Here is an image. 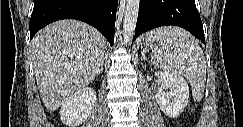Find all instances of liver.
<instances>
[{
  "label": "liver",
  "instance_id": "liver-1",
  "mask_svg": "<svg viewBox=\"0 0 243 127\" xmlns=\"http://www.w3.org/2000/svg\"><path fill=\"white\" fill-rule=\"evenodd\" d=\"M32 59L44 106L55 111L99 74L106 41L92 26L77 20H60L32 39Z\"/></svg>",
  "mask_w": 243,
  "mask_h": 127
}]
</instances>
